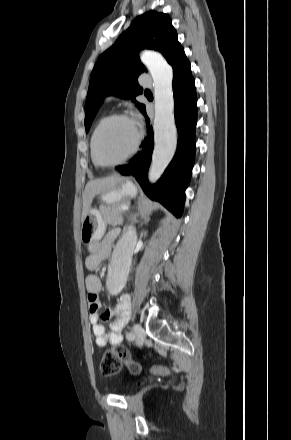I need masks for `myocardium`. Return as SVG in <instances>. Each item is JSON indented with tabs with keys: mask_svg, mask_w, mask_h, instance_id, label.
I'll list each match as a JSON object with an SVG mask.
<instances>
[{
	"mask_svg": "<svg viewBox=\"0 0 291 440\" xmlns=\"http://www.w3.org/2000/svg\"><path fill=\"white\" fill-rule=\"evenodd\" d=\"M115 119H123V120H127L130 121L133 125V121L132 119L124 113H112L106 117H104L99 124L97 125V127L95 128L93 135H92V141H91V151H92V159L94 161V163L98 166H103V167H116V166H120L122 164H125L127 161H129L138 151L139 146H140V142H141V134L139 133V131L137 130V128L134 125V130H135V141L133 144L132 149L129 151V153L121 160L119 161H113V162H106V161H102L97 154V137L98 134L101 130V128L109 121L111 120H115Z\"/></svg>",
	"mask_w": 291,
	"mask_h": 440,
	"instance_id": "myocardium-1",
	"label": "myocardium"
}]
</instances>
